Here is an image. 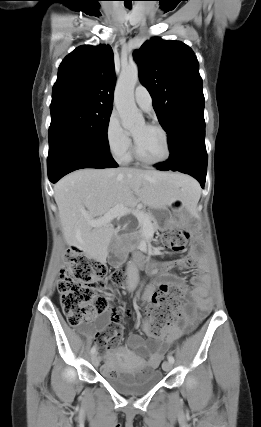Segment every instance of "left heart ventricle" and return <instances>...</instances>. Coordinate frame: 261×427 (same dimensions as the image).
Listing matches in <instances>:
<instances>
[{
  "mask_svg": "<svg viewBox=\"0 0 261 427\" xmlns=\"http://www.w3.org/2000/svg\"><path fill=\"white\" fill-rule=\"evenodd\" d=\"M139 154L150 161L163 158L166 154V144L162 133L146 124H140L132 130Z\"/></svg>",
  "mask_w": 261,
  "mask_h": 427,
  "instance_id": "1",
  "label": "left heart ventricle"
}]
</instances>
